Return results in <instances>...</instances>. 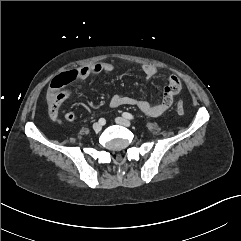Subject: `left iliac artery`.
I'll return each instance as SVG.
<instances>
[{
  "label": "left iliac artery",
  "instance_id": "1",
  "mask_svg": "<svg viewBox=\"0 0 241 241\" xmlns=\"http://www.w3.org/2000/svg\"><path fill=\"white\" fill-rule=\"evenodd\" d=\"M123 117L126 118V119H129V120H133L134 119V116L128 112H124L123 114Z\"/></svg>",
  "mask_w": 241,
  "mask_h": 241
}]
</instances>
